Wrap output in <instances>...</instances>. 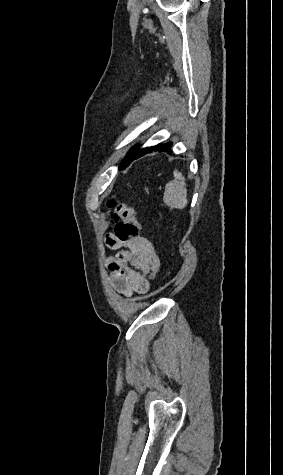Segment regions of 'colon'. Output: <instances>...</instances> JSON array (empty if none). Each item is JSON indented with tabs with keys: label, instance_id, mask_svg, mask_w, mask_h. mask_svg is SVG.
Returning <instances> with one entry per match:
<instances>
[{
	"label": "colon",
	"instance_id": "obj_1",
	"mask_svg": "<svg viewBox=\"0 0 283 475\" xmlns=\"http://www.w3.org/2000/svg\"><path fill=\"white\" fill-rule=\"evenodd\" d=\"M109 219L116 223L119 242H126L138 235V220L134 208L119 203L113 197L109 203ZM109 249V248H108Z\"/></svg>",
	"mask_w": 283,
	"mask_h": 475
}]
</instances>
